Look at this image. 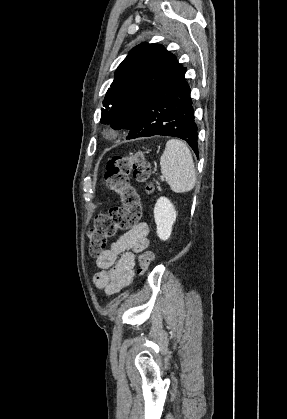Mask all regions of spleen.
<instances>
[{
  "instance_id": "1",
  "label": "spleen",
  "mask_w": 287,
  "mask_h": 419,
  "mask_svg": "<svg viewBox=\"0 0 287 419\" xmlns=\"http://www.w3.org/2000/svg\"><path fill=\"white\" fill-rule=\"evenodd\" d=\"M161 172L172 191H191L196 183V170L187 145L178 139H170L160 158Z\"/></svg>"
}]
</instances>
